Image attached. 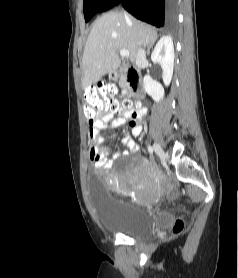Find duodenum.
<instances>
[{"label":"duodenum","instance_id":"duodenum-1","mask_svg":"<svg viewBox=\"0 0 238 278\" xmlns=\"http://www.w3.org/2000/svg\"><path fill=\"white\" fill-rule=\"evenodd\" d=\"M111 77L117 79L119 77H125L128 83L129 90L135 92L138 84L139 74L133 67H124L112 72Z\"/></svg>","mask_w":238,"mask_h":278}]
</instances>
